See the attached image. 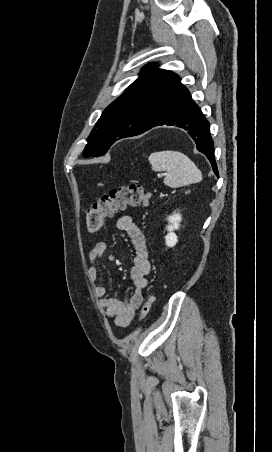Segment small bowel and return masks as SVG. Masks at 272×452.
I'll use <instances>...</instances> for the list:
<instances>
[{"label":"small bowel","mask_w":272,"mask_h":452,"mask_svg":"<svg viewBox=\"0 0 272 452\" xmlns=\"http://www.w3.org/2000/svg\"><path fill=\"white\" fill-rule=\"evenodd\" d=\"M117 229L126 232L134 249L131 279L134 285L133 294L126 300L121 301L116 297L108 296L107 289L101 284H95V295L100 299V309L108 318H111L119 326L130 324L136 310L143 303V289L148 286V275L150 273V261L147 242L141 229L129 215H122L116 220ZM107 251L105 242H98L90 251L89 260L92 266L89 269V279L96 283L98 268L96 263L101 261Z\"/></svg>","instance_id":"1"}]
</instances>
